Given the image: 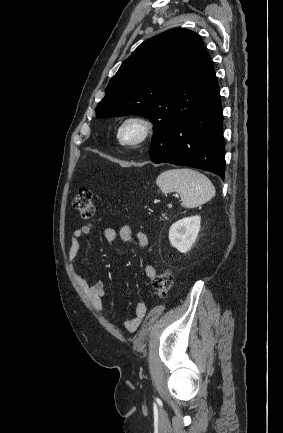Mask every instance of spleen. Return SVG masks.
<instances>
[{
    "label": "spleen",
    "instance_id": "obj_1",
    "mask_svg": "<svg viewBox=\"0 0 283 433\" xmlns=\"http://www.w3.org/2000/svg\"><path fill=\"white\" fill-rule=\"evenodd\" d=\"M161 192H179L182 206L194 208L215 196V186L211 180L192 168H171L161 172L156 178Z\"/></svg>",
    "mask_w": 283,
    "mask_h": 433
}]
</instances>
